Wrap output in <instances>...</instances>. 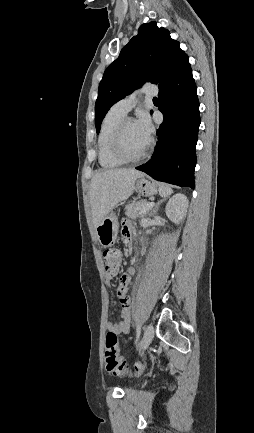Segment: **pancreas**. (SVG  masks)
Here are the masks:
<instances>
[{"mask_svg": "<svg viewBox=\"0 0 254 433\" xmlns=\"http://www.w3.org/2000/svg\"><path fill=\"white\" fill-rule=\"evenodd\" d=\"M146 200H139L129 203L125 207V215L129 218L145 217L152 214L151 208L142 212V209L148 204Z\"/></svg>", "mask_w": 254, "mask_h": 433, "instance_id": "pancreas-1", "label": "pancreas"}]
</instances>
